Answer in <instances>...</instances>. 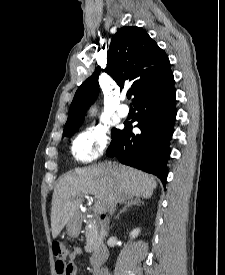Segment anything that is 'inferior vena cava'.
<instances>
[{
  "label": "inferior vena cava",
  "instance_id": "602c4592",
  "mask_svg": "<svg viewBox=\"0 0 225 275\" xmlns=\"http://www.w3.org/2000/svg\"><path fill=\"white\" fill-rule=\"evenodd\" d=\"M123 196L122 189L119 183H116L113 188V192L109 196V200L107 203V208L109 213L112 215L116 209L117 203L120 202ZM98 275H110L107 268L101 269Z\"/></svg>",
  "mask_w": 225,
  "mask_h": 275
}]
</instances>
